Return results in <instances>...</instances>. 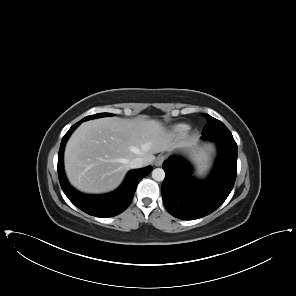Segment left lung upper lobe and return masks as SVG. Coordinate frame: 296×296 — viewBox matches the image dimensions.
<instances>
[{"label": "left lung upper lobe", "instance_id": "obj_1", "mask_svg": "<svg viewBox=\"0 0 296 296\" xmlns=\"http://www.w3.org/2000/svg\"><path fill=\"white\" fill-rule=\"evenodd\" d=\"M207 125L203 129L202 135L204 138L222 142V141H234V138L228 128L219 120L206 114Z\"/></svg>", "mask_w": 296, "mask_h": 296}]
</instances>
